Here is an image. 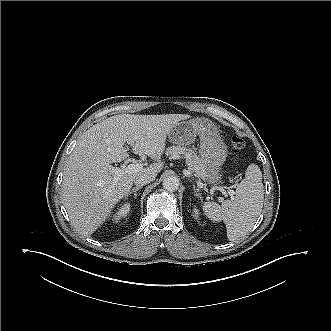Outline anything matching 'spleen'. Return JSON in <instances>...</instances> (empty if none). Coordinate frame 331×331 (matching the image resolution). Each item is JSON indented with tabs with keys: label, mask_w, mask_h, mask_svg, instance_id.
<instances>
[{
	"label": "spleen",
	"mask_w": 331,
	"mask_h": 331,
	"mask_svg": "<svg viewBox=\"0 0 331 331\" xmlns=\"http://www.w3.org/2000/svg\"><path fill=\"white\" fill-rule=\"evenodd\" d=\"M263 184L255 170L250 167L246 178L238 185L236 196L225 200L221 205L214 201L201 204L203 213L213 222L223 220L228 238L232 241L246 235L257 217L262 200Z\"/></svg>",
	"instance_id": "3e777b00"
}]
</instances>
